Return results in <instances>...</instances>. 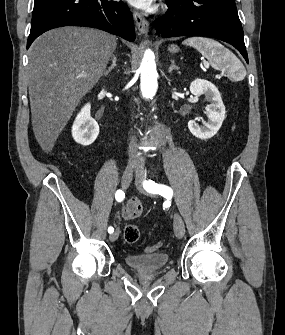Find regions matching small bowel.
I'll use <instances>...</instances> for the list:
<instances>
[{"mask_svg": "<svg viewBox=\"0 0 285 335\" xmlns=\"http://www.w3.org/2000/svg\"><path fill=\"white\" fill-rule=\"evenodd\" d=\"M143 214V205L138 198H132L121 207L120 215L125 220H134Z\"/></svg>", "mask_w": 285, "mask_h": 335, "instance_id": "1", "label": "small bowel"}]
</instances>
